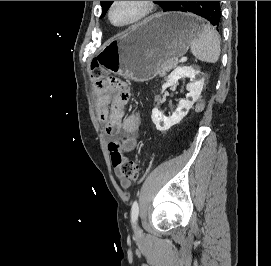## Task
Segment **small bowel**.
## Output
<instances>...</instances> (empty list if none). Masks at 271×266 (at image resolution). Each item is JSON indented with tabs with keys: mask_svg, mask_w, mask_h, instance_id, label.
<instances>
[{
	"mask_svg": "<svg viewBox=\"0 0 271 266\" xmlns=\"http://www.w3.org/2000/svg\"><path fill=\"white\" fill-rule=\"evenodd\" d=\"M96 112L99 120L105 123V132L109 137H114L123 131L128 138V148L135 144L137 132L141 126V116L133 111L125 116V106L129 100L114 95L111 92L95 90ZM117 174L119 175L118 171ZM121 185L128 187L130 181L121 178Z\"/></svg>",
	"mask_w": 271,
	"mask_h": 266,
	"instance_id": "obj_1",
	"label": "small bowel"
}]
</instances>
